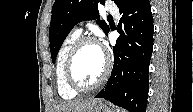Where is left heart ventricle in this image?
<instances>
[{
	"mask_svg": "<svg viewBox=\"0 0 193 112\" xmlns=\"http://www.w3.org/2000/svg\"><path fill=\"white\" fill-rule=\"evenodd\" d=\"M105 58L102 48L95 43L84 45L74 60L73 73L81 85H91L103 72Z\"/></svg>",
	"mask_w": 193,
	"mask_h": 112,
	"instance_id": "obj_1",
	"label": "left heart ventricle"
}]
</instances>
